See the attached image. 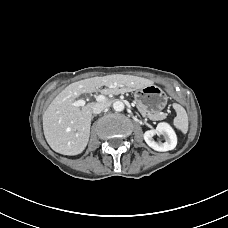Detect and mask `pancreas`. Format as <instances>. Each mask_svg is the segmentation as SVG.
<instances>
[{"label":"pancreas","instance_id":"obj_1","mask_svg":"<svg viewBox=\"0 0 228 228\" xmlns=\"http://www.w3.org/2000/svg\"><path fill=\"white\" fill-rule=\"evenodd\" d=\"M143 116H147L151 120H163L167 117V114L164 112H156V113H150V112H145L143 110L138 109Z\"/></svg>","mask_w":228,"mask_h":228}]
</instances>
